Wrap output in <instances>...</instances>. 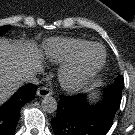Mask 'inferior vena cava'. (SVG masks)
I'll list each match as a JSON object with an SVG mask.
<instances>
[{
	"instance_id": "inferior-vena-cava-1",
	"label": "inferior vena cava",
	"mask_w": 135,
	"mask_h": 135,
	"mask_svg": "<svg viewBox=\"0 0 135 135\" xmlns=\"http://www.w3.org/2000/svg\"><path fill=\"white\" fill-rule=\"evenodd\" d=\"M38 70H29L24 75L25 82L32 83L35 85L39 84V79L37 78Z\"/></svg>"
}]
</instances>
